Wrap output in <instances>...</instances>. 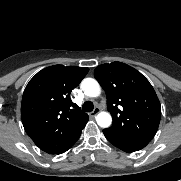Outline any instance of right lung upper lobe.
I'll return each instance as SVG.
<instances>
[{"instance_id":"obj_1","label":"right lung upper lobe","mask_w":181,"mask_h":181,"mask_svg":"<svg viewBox=\"0 0 181 181\" xmlns=\"http://www.w3.org/2000/svg\"><path fill=\"white\" fill-rule=\"evenodd\" d=\"M89 68L53 65L39 71L26 86L21 118L26 133L43 151L67 146L86 125L88 115L70 99Z\"/></svg>"}]
</instances>
